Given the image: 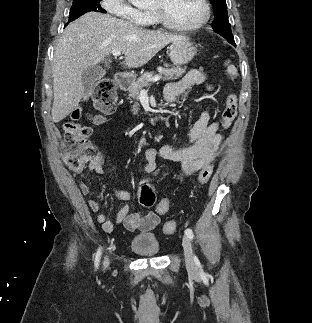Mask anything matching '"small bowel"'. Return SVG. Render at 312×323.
Segmentation results:
<instances>
[{"label":"small bowel","instance_id":"obj_1","mask_svg":"<svg viewBox=\"0 0 312 323\" xmlns=\"http://www.w3.org/2000/svg\"><path fill=\"white\" fill-rule=\"evenodd\" d=\"M196 85H203L207 90L212 86L207 83L204 73L198 69L190 70L183 78L177 82L170 83L165 90V98L168 102H175L188 89ZM219 123L214 121L209 123V114L205 109L196 123L190 130V145L176 148L172 145H164L159 149L149 148L145 151L146 163L144 171L151 174L157 167V157L166 161L178 162L185 174L191 175L197 173L204 166L212 164L216 158L222 137L218 133ZM91 172L102 174L105 170V158L102 154H97L88 164ZM80 190L83 195H88L90 189L84 182L80 183ZM114 194L121 199L128 200L130 194L123 190H114ZM167 199V198H164ZM88 206L93 212H99L101 202L96 199H90ZM97 221L102 225L106 232H112L117 224H123L126 230L149 231L157 227L160 223V216H156L152 211L145 214L130 213L129 205H124L116 214L114 220H110L104 213H98Z\"/></svg>","mask_w":312,"mask_h":323}]
</instances>
